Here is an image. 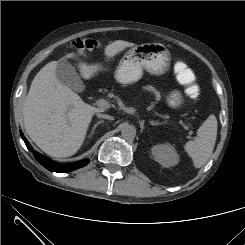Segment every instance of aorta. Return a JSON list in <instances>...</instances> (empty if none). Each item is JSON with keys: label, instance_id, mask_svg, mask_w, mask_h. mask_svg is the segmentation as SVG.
Segmentation results:
<instances>
[{"label": "aorta", "instance_id": "aorta-1", "mask_svg": "<svg viewBox=\"0 0 245 245\" xmlns=\"http://www.w3.org/2000/svg\"><path fill=\"white\" fill-rule=\"evenodd\" d=\"M121 135L127 140L134 139L136 136V128L133 125L126 124L121 130Z\"/></svg>", "mask_w": 245, "mask_h": 245}]
</instances>
